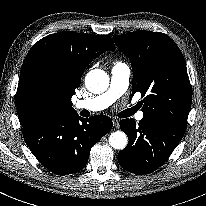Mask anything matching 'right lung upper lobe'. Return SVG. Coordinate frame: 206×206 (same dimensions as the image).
I'll use <instances>...</instances> for the list:
<instances>
[{"label": "right lung upper lobe", "mask_w": 206, "mask_h": 206, "mask_svg": "<svg viewBox=\"0 0 206 206\" xmlns=\"http://www.w3.org/2000/svg\"><path fill=\"white\" fill-rule=\"evenodd\" d=\"M114 49L109 36L73 31L54 33L34 44L23 62L16 95L23 130L77 114L71 98L86 66Z\"/></svg>", "instance_id": "1"}]
</instances>
